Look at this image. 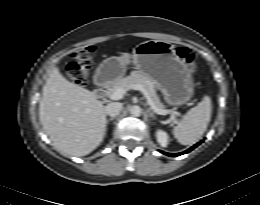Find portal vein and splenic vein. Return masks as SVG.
Wrapping results in <instances>:
<instances>
[{"label":"portal vein and splenic vein","instance_id":"portal-vein-and-splenic-vein-1","mask_svg":"<svg viewBox=\"0 0 260 205\" xmlns=\"http://www.w3.org/2000/svg\"><path fill=\"white\" fill-rule=\"evenodd\" d=\"M130 89H133V90H138L140 91L144 97L146 98L147 100V103L150 105L151 109L159 114V115H166L168 113V111L166 110H162V109H159L153 102V100L151 99V97L149 96L147 90L140 84H133V85H130ZM126 93V90L125 89H122V88H119L117 90H115V92L112 93L111 95V99L112 100H120L123 98L124 94ZM175 113V112H174Z\"/></svg>","mask_w":260,"mask_h":205}]
</instances>
